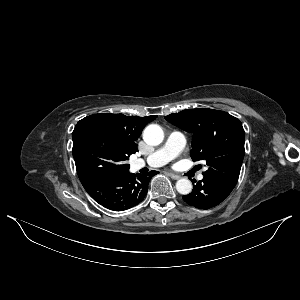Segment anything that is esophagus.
Listing matches in <instances>:
<instances>
[{"label": "esophagus", "instance_id": "esophagus-1", "mask_svg": "<svg viewBox=\"0 0 300 300\" xmlns=\"http://www.w3.org/2000/svg\"><path fill=\"white\" fill-rule=\"evenodd\" d=\"M169 176H170L172 179H174V180H178V179L181 178L179 175L174 174V173H170Z\"/></svg>", "mask_w": 300, "mask_h": 300}]
</instances>
